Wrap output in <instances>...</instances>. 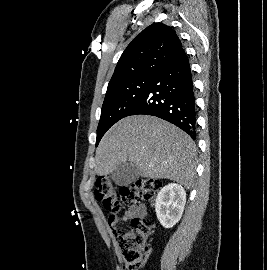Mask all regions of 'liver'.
<instances>
[{"instance_id":"obj_1","label":"liver","mask_w":267,"mask_h":270,"mask_svg":"<svg viewBox=\"0 0 267 270\" xmlns=\"http://www.w3.org/2000/svg\"><path fill=\"white\" fill-rule=\"evenodd\" d=\"M196 145L176 126L149 115L129 116L112 126L96 149L95 172L112 173L131 162L140 176L170 179L190 189L195 176Z\"/></svg>"}]
</instances>
